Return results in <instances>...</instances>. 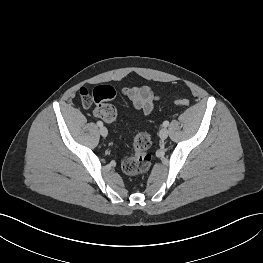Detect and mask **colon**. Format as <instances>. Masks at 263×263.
<instances>
[{"mask_svg": "<svg viewBox=\"0 0 263 263\" xmlns=\"http://www.w3.org/2000/svg\"><path fill=\"white\" fill-rule=\"evenodd\" d=\"M115 93V89L110 85L95 87L91 95L86 87H82L79 92L82 104L89 106L95 103V114L108 123L114 122L117 117V110L110 102L114 98ZM175 103L178 106L186 107L189 101L186 98H178L175 100ZM151 143V138L146 132L136 134L132 143L134 154L125 158L121 164L124 173L138 175L150 168L152 164V155L149 152Z\"/></svg>", "mask_w": 263, "mask_h": 263, "instance_id": "colon-1", "label": "colon"}]
</instances>
